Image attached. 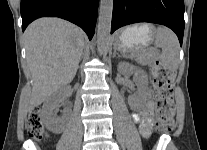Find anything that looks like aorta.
<instances>
[{
	"instance_id": "aorta-1",
	"label": "aorta",
	"mask_w": 207,
	"mask_h": 150,
	"mask_svg": "<svg viewBox=\"0 0 207 150\" xmlns=\"http://www.w3.org/2000/svg\"><path fill=\"white\" fill-rule=\"evenodd\" d=\"M113 0H101L98 18L97 43L100 54L107 52L110 43Z\"/></svg>"
}]
</instances>
